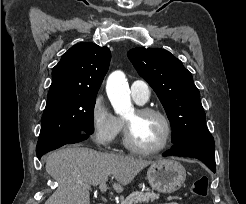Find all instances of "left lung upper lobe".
Listing matches in <instances>:
<instances>
[{
    "label": "left lung upper lobe",
    "instance_id": "5c2ea615",
    "mask_svg": "<svg viewBox=\"0 0 246 204\" xmlns=\"http://www.w3.org/2000/svg\"><path fill=\"white\" fill-rule=\"evenodd\" d=\"M127 55L160 99L173 129L174 144L208 131L199 90L179 59L159 48H134Z\"/></svg>",
    "mask_w": 246,
    "mask_h": 204
}]
</instances>
